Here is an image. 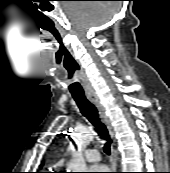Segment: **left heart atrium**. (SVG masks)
I'll return each mask as SVG.
<instances>
[{
  "label": "left heart atrium",
  "mask_w": 170,
  "mask_h": 173,
  "mask_svg": "<svg viewBox=\"0 0 170 173\" xmlns=\"http://www.w3.org/2000/svg\"><path fill=\"white\" fill-rule=\"evenodd\" d=\"M90 173H106L107 168L102 165H95L89 168Z\"/></svg>",
  "instance_id": "obj_1"
}]
</instances>
